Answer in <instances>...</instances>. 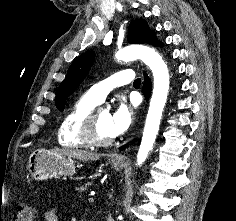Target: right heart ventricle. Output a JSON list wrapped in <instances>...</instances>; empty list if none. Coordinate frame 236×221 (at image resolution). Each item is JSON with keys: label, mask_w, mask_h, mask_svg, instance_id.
Returning <instances> with one entry per match:
<instances>
[{"label": "right heart ventricle", "mask_w": 236, "mask_h": 221, "mask_svg": "<svg viewBox=\"0 0 236 221\" xmlns=\"http://www.w3.org/2000/svg\"><path fill=\"white\" fill-rule=\"evenodd\" d=\"M97 104L87 93L72 104L58 128L57 140L60 146L67 149H86L90 146L82 138L81 127L85 117Z\"/></svg>", "instance_id": "right-heart-ventricle-1"}]
</instances>
